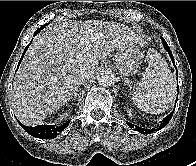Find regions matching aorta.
I'll use <instances>...</instances> for the list:
<instances>
[{
    "label": "aorta",
    "instance_id": "1",
    "mask_svg": "<svg viewBox=\"0 0 196 166\" xmlns=\"http://www.w3.org/2000/svg\"><path fill=\"white\" fill-rule=\"evenodd\" d=\"M97 81L101 86H111L114 82V74L109 70L101 71L98 74Z\"/></svg>",
    "mask_w": 196,
    "mask_h": 166
}]
</instances>
